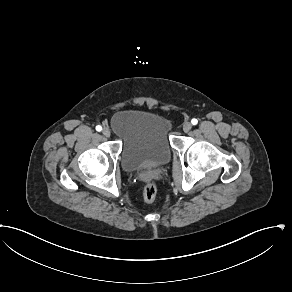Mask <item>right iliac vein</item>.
Wrapping results in <instances>:
<instances>
[{"label":"right iliac vein","mask_w":292,"mask_h":292,"mask_svg":"<svg viewBox=\"0 0 292 292\" xmlns=\"http://www.w3.org/2000/svg\"><path fill=\"white\" fill-rule=\"evenodd\" d=\"M102 133L105 137H110V135H111V131L108 127H104L102 130Z\"/></svg>","instance_id":"63e3f726"}]
</instances>
